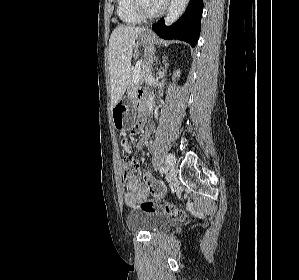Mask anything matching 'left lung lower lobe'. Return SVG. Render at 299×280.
I'll return each instance as SVG.
<instances>
[{
	"instance_id": "1",
	"label": "left lung lower lobe",
	"mask_w": 299,
	"mask_h": 280,
	"mask_svg": "<svg viewBox=\"0 0 299 280\" xmlns=\"http://www.w3.org/2000/svg\"><path fill=\"white\" fill-rule=\"evenodd\" d=\"M203 0H190L183 16L169 27L164 20L152 26V29L164 39H179L194 47L200 35Z\"/></svg>"
}]
</instances>
